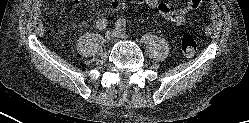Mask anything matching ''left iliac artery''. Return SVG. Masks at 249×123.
<instances>
[{
	"mask_svg": "<svg viewBox=\"0 0 249 123\" xmlns=\"http://www.w3.org/2000/svg\"><path fill=\"white\" fill-rule=\"evenodd\" d=\"M115 26H116V29L124 31L125 27H126V21H125V19H119V20H117Z\"/></svg>",
	"mask_w": 249,
	"mask_h": 123,
	"instance_id": "left-iliac-artery-1",
	"label": "left iliac artery"
}]
</instances>
